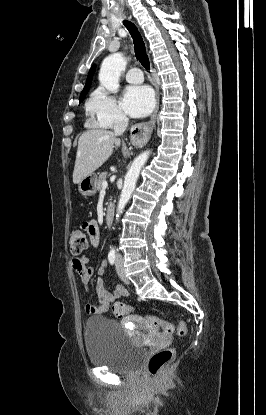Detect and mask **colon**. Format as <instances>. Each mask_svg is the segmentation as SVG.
Wrapping results in <instances>:
<instances>
[{
    "label": "colon",
    "instance_id": "1",
    "mask_svg": "<svg viewBox=\"0 0 266 415\" xmlns=\"http://www.w3.org/2000/svg\"><path fill=\"white\" fill-rule=\"evenodd\" d=\"M70 250L77 255L83 252L88 246V239L84 232L75 230L69 237ZM113 313L116 317H125L133 311V308L124 302H116L113 305ZM146 322L157 331L163 334H172L174 326L165 320L159 319L153 315H147ZM177 335L183 337L187 333V328L184 322H180L177 329ZM175 351L172 348H164L156 351L150 358L148 368L153 376L161 375L169 366L174 358Z\"/></svg>",
    "mask_w": 266,
    "mask_h": 415
}]
</instances>
